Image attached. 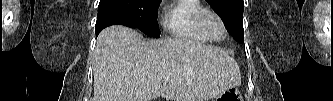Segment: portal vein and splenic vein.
Wrapping results in <instances>:
<instances>
[{
  "label": "portal vein and splenic vein",
  "mask_w": 333,
  "mask_h": 101,
  "mask_svg": "<svg viewBox=\"0 0 333 101\" xmlns=\"http://www.w3.org/2000/svg\"><path fill=\"white\" fill-rule=\"evenodd\" d=\"M169 79H170V77H169V76H166L165 81L168 82Z\"/></svg>",
  "instance_id": "1"
}]
</instances>
